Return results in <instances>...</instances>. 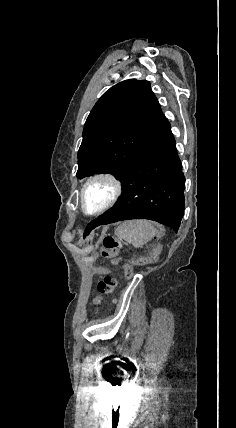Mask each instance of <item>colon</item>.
<instances>
[{"label":"colon","instance_id":"1","mask_svg":"<svg viewBox=\"0 0 236 428\" xmlns=\"http://www.w3.org/2000/svg\"><path fill=\"white\" fill-rule=\"evenodd\" d=\"M120 249V242L112 237L105 236L102 242V254L106 257L114 258L115 263H118L116 255ZM124 275L131 277L132 269L129 266H123ZM117 279L113 276H106L100 280L97 284V289L101 294H111L117 286Z\"/></svg>","mask_w":236,"mask_h":428}]
</instances>
